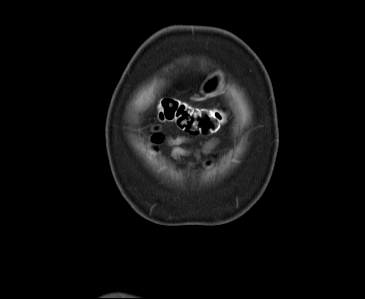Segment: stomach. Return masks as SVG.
Instances as JSON below:
<instances>
[{"label": "stomach", "mask_w": 365, "mask_h": 299, "mask_svg": "<svg viewBox=\"0 0 365 299\" xmlns=\"http://www.w3.org/2000/svg\"><path fill=\"white\" fill-rule=\"evenodd\" d=\"M215 85H216V79L211 78L205 83V85L203 86V90L209 92L214 88Z\"/></svg>", "instance_id": "1"}]
</instances>
